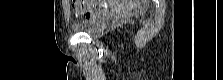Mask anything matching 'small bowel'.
<instances>
[{"label":"small bowel","mask_w":223,"mask_h":80,"mask_svg":"<svg viewBox=\"0 0 223 80\" xmlns=\"http://www.w3.org/2000/svg\"><path fill=\"white\" fill-rule=\"evenodd\" d=\"M121 3L116 2L111 5L112 10H118L121 8ZM74 9L77 15L85 17L87 19L100 16L108 11V7L101 4H92V3H76Z\"/></svg>","instance_id":"small-bowel-1"}]
</instances>
